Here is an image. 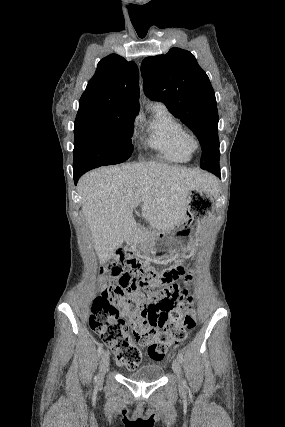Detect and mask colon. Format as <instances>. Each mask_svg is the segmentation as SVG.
<instances>
[{"mask_svg": "<svg viewBox=\"0 0 285 427\" xmlns=\"http://www.w3.org/2000/svg\"><path fill=\"white\" fill-rule=\"evenodd\" d=\"M111 270L123 290L134 295L128 297L122 289L103 285L90 308V328L115 352L117 362L129 369L140 363L141 347L151 359L162 360L171 343H181L187 331L195 328L192 298L180 296L173 301L161 331L146 322L145 311L166 292L179 294L176 283L183 269L173 266L159 272L118 251ZM127 318L135 340L128 334Z\"/></svg>", "mask_w": 285, "mask_h": 427, "instance_id": "colon-1", "label": "colon"}]
</instances>
